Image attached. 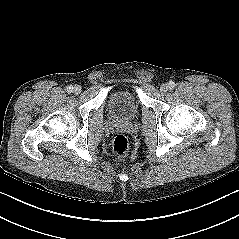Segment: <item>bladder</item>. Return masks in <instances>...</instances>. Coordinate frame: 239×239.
<instances>
[{"instance_id":"1","label":"bladder","mask_w":239,"mask_h":239,"mask_svg":"<svg viewBox=\"0 0 239 239\" xmlns=\"http://www.w3.org/2000/svg\"><path fill=\"white\" fill-rule=\"evenodd\" d=\"M109 110L115 118L132 120L139 111L138 98L130 90L117 91L110 97Z\"/></svg>"}]
</instances>
